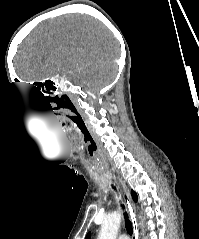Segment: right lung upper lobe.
I'll use <instances>...</instances> for the list:
<instances>
[{"label": "right lung upper lobe", "mask_w": 199, "mask_h": 239, "mask_svg": "<svg viewBox=\"0 0 199 239\" xmlns=\"http://www.w3.org/2000/svg\"><path fill=\"white\" fill-rule=\"evenodd\" d=\"M85 239H91V233H88Z\"/></svg>", "instance_id": "right-lung-upper-lobe-1"}]
</instances>
